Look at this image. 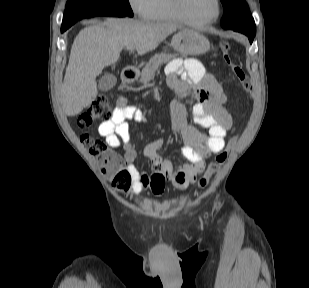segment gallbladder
Segmentation results:
<instances>
[{"mask_svg":"<svg viewBox=\"0 0 309 288\" xmlns=\"http://www.w3.org/2000/svg\"><path fill=\"white\" fill-rule=\"evenodd\" d=\"M117 82L114 74H105L99 81V89L101 91H108L112 89Z\"/></svg>","mask_w":309,"mask_h":288,"instance_id":"1","label":"gallbladder"}]
</instances>
